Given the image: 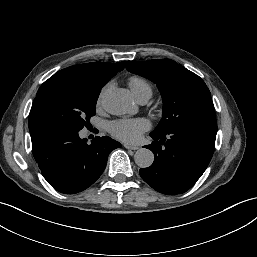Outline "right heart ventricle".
<instances>
[{
  "instance_id": "right-heart-ventricle-1",
  "label": "right heart ventricle",
  "mask_w": 257,
  "mask_h": 257,
  "mask_svg": "<svg viewBox=\"0 0 257 257\" xmlns=\"http://www.w3.org/2000/svg\"><path fill=\"white\" fill-rule=\"evenodd\" d=\"M128 85L133 96L138 99L144 95L151 96L152 89L150 84L141 77H131L128 81Z\"/></svg>"
}]
</instances>
